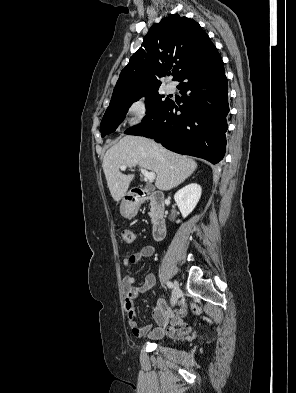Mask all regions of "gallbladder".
Returning a JSON list of instances; mask_svg holds the SVG:
<instances>
[{
	"label": "gallbladder",
	"instance_id": "bac80fb5",
	"mask_svg": "<svg viewBox=\"0 0 296 393\" xmlns=\"http://www.w3.org/2000/svg\"><path fill=\"white\" fill-rule=\"evenodd\" d=\"M145 189H146V190H151L152 188L149 187V186H147V187H145Z\"/></svg>",
	"mask_w": 296,
	"mask_h": 393
}]
</instances>
